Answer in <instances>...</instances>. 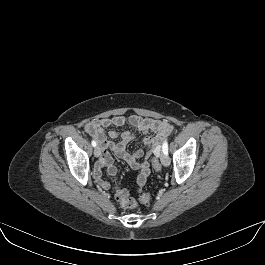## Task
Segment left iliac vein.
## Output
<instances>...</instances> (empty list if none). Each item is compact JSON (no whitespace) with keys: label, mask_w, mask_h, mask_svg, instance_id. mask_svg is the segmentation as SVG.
Returning <instances> with one entry per match:
<instances>
[{"label":"left iliac vein","mask_w":265,"mask_h":265,"mask_svg":"<svg viewBox=\"0 0 265 265\" xmlns=\"http://www.w3.org/2000/svg\"><path fill=\"white\" fill-rule=\"evenodd\" d=\"M160 160H161V163L164 165V166H169V164H170V159H169V157H168V155L167 154H162L161 156H160Z\"/></svg>","instance_id":"left-iliac-vein-1"}]
</instances>
